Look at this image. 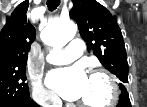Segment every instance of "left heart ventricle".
Wrapping results in <instances>:
<instances>
[{
	"mask_svg": "<svg viewBox=\"0 0 147 107\" xmlns=\"http://www.w3.org/2000/svg\"><path fill=\"white\" fill-rule=\"evenodd\" d=\"M109 95V87L103 78H88L85 92L79 100L90 104H101L106 102Z\"/></svg>",
	"mask_w": 147,
	"mask_h": 107,
	"instance_id": "obj_1",
	"label": "left heart ventricle"
}]
</instances>
